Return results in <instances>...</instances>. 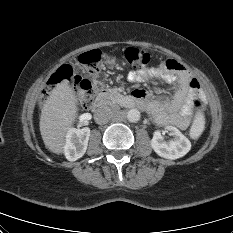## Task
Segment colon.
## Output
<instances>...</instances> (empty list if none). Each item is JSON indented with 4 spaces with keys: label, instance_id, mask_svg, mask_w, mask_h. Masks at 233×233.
Masks as SVG:
<instances>
[{
    "label": "colon",
    "instance_id": "colon-1",
    "mask_svg": "<svg viewBox=\"0 0 233 233\" xmlns=\"http://www.w3.org/2000/svg\"><path fill=\"white\" fill-rule=\"evenodd\" d=\"M128 63L136 67H146L151 60L150 55L144 50L129 47L124 52ZM79 61L86 67L89 77L82 78L74 74L69 65H62L49 78L40 101L44 102L50 93L60 83L68 81L73 83L75 94L79 105L83 108H90L95 102L96 95L102 88L103 82L100 77L101 53L99 50L87 51L80 55ZM193 106L196 108V117L190 128V137L197 139L201 136L205 126V119L202 113V102L198 98L193 99Z\"/></svg>",
    "mask_w": 233,
    "mask_h": 233
}]
</instances>
